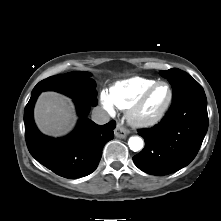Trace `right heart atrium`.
I'll return each instance as SVG.
<instances>
[{
  "instance_id": "d8ad5b80",
  "label": "right heart atrium",
  "mask_w": 221,
  "mask_h": 221,
  "mask_svg": "<svg viewBox=\"0 0 221 221\" xmlns=\"http://www.w3.org/2000/svg\"><path fill=\"white\" fill-rule=\"evenodd\" d=\"M100 101H101L102 106L108 112H113L114 105H113V103H112L108 93H106L105 91L101 92V94H100Z\"/></svg>"
}]
</instances>
